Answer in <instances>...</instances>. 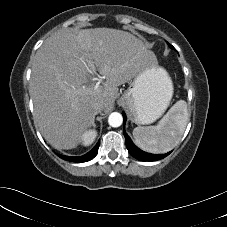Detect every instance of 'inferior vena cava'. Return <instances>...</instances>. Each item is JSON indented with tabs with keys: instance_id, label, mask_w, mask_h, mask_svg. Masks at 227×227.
I'll return each mask as SVG.
<instances>
[{
	"instance_id": "inferior-vena-cava-1",
	"label": "inferior vena cava",
	"mask_w": 227,
	"mask_h": 227,
	"mask_svg": "<svg viewBox=\"0 0 227 227\" xmlns=\"http://www.w3.org/2000/svg\"><path fill=\"white\" fill-rule=\"evenodd\" d=\"M93 108L94 110L97 112V111H101L104 109V102L101 101V100H97L93 103Z\"/></svg>"
}]
</instances>
